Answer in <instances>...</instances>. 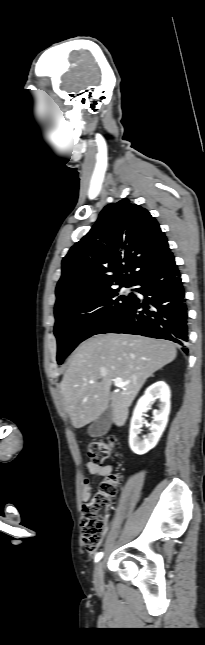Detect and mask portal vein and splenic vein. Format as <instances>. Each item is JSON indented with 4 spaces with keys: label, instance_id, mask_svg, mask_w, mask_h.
Wrapping results in <instances>:
<instances>
[{
    "label": "portal vein and splenic vein",
    "instance_id": "18ae733b",
    "mask_svg": "<svg viewBox=\"0 0 205 645\" xmlns=\"http://www.w3.org/2000/svg\"><path fill=\"white\" fill-rule=\"evenodd\" d=\"M128 384H129V381L124 382L121 378H116V379H114V385H115L117 388H123V387H125V386H126V385H128Z\"/></svg>",
    "mask_w": 205,
    "mask_h": 645
}]
</instances>
